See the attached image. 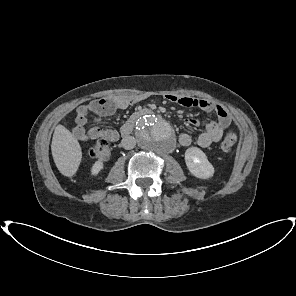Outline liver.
<instances>
[{"mask_svg": "<svg viewBox=\"0 0 296 296\" xmlns=\"http://www.w3.org/2000/svg\"><path fill=\"white\" fill-rule=\"evenodd\" d=\"M56 167L66 177L73 176L80 165L82 150L75 136L63 125H57L51 143Z\"/></svg>", "mask_w": 296, "mask_h": 296, "instance_id": "1", "label": "liver"}]
</instances>
